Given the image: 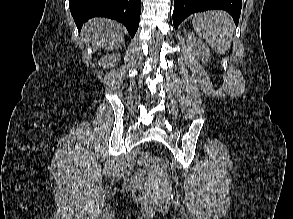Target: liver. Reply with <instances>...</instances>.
Returning a JSON list of instances; mask_svg holds the SVG:
<instances>
[{"instance_id":"liver-1","label":"liver","mask_w":293,"mask_h":219,"mask_svg":"<svg viewBox=\"0 0 293 219\" xmlns=\"http://www.w3.org/2000/svg\"><path fill=\"white\" fill-rule=\"evenodd\" d=\"M83 31L94 43L95 47L105 50L119 46L123 41V30L115 21L94 18L83 26Z\"/></svg>"}]
</instances>
